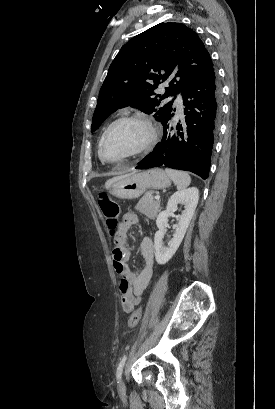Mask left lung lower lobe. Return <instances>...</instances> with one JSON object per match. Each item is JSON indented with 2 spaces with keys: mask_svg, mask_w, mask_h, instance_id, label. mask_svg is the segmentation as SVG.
<instances>
[{
  "mask_svg": "<svg viewBox=\"0 0 275 409\" xmlns=\"http://www.w3.org/2000/svg\"><path fill=\"white\" fill-rule=\"evenodd\" d=\"M181 95L186 125L182 127L178 124L177 130H174L171 120L176 109H173L162 123V141L135 168L165 165L207 179L221 118V86L214 67L188 84Z\"/></svg>",
  "mask_w": 275,
  "mask_h": 409,
  "instance_id": "left-lung-lower-lobe-1",
  "label": "left lung lower lobe"
}]
</instances>
